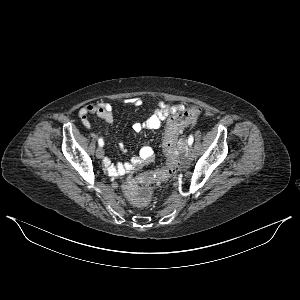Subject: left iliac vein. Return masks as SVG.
I'll use <instances>...</instances> for the list:
<instances>
[{
  "label": "left iliac vein",
  "mask_w": 300,
  "mask_h": 300,
  "mask_svg": "<svg viewBox=\"0 0 300 300\" xmlns=\"http://www.w3.org/2000/svg\"><path fill=\"white\" fill-rule=\"evenodd\" d=\"M185 151H186L187 159L191 161L193 159V150L191 146L190 145L185 146Z\"/></svg>",
  "instance_id": "1"
}]
</instances>
